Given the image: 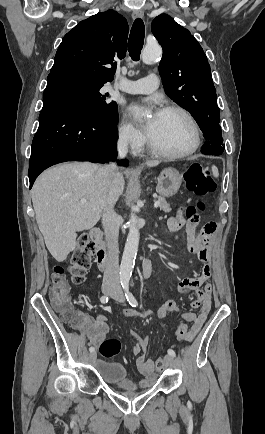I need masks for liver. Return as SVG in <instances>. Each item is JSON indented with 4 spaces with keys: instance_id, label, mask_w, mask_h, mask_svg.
<instances>
[{
    "instance_id": "1",
    "label": "liver",
    "mask_w": 265,
    "mask_h": 434,
    "mask_svg": "<svg viewBox=\"0 0 265 434\" xmlns=\"http://www.w3.org/2000/svg\"><path fill=\"white\" fill-rule=\"evenodd\" d=\"M146 164L158 166L160 162ZM98 170L97 164L89 162L61 164L43 172L31 190L38 228L57 262H64L75 250L76 232L94 228L103 212L113 208L123 194L125 180L120 172H115L106 194L100 192Z\"/></svg>"
}]
</instances>
